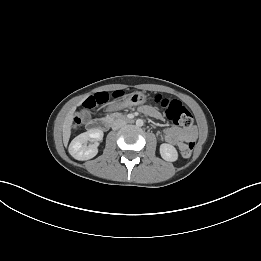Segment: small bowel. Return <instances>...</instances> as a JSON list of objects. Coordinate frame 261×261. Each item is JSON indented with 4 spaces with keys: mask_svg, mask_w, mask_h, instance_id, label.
Segmentation results:
<instances>
[{
    "mask_svg": "<svg viewBox=\"0 0 261 261\" xmlns=\"http://www.w3.org/2000/svg\"><path fill=\"white\" fill-rule=\"evenodd\" d=\"M140 111L145 115L150 117L161 119V112L152 106H142ZM196 138L195 129H182L177 126L165 128L160 133V139L167 143L176 145L180 150H182L188 142L194 140Z\"/></svg>",
    "mask_w": 261,
    "mask_h": 261,
    "instance_id": "obj_1",
    "label": "small bowel"
}]
</instances>
